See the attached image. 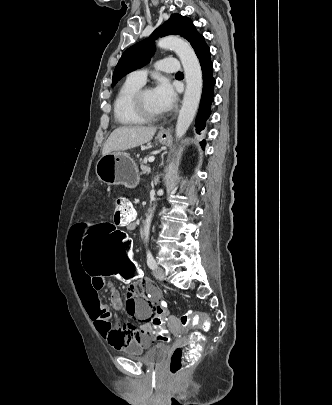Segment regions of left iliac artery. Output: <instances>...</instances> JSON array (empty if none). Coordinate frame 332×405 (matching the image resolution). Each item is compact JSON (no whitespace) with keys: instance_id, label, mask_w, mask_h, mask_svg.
Returning a JSON list of instances; mask_svg holds the SVG:
<instances>
[{"instance_id":"obj_1","label":"left iliac artery","mask_w":332,"mask_h":405,"mask_svg":"<svg viewBox=\"0 0 332 405\" xmlns=\"http://www.w3.org/2000/svg\"><path fill=\"white\" fill-rule=\"evenodd\" d=\"M147 265L150 269H155L157 267L156 261L150 250H147Z\"/></svg>"}]
</instances>
